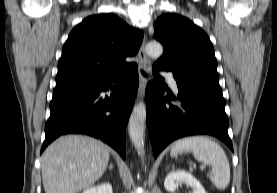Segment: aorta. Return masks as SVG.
<instances>
[{
    "label": "aorta",
    "instance_id": "obj_1",
    "mask_svg": "<svg viewBox=\"0 0 277 193\" xmlns=\"http://www.w3.org/2000/svg\"><path fill=\"white\" fill-rule=\"evenodd\" d=\"M146 53L152 57H159L163 47L158 42H150L145 47ZM146 105L144 102L137 104L129 119V135L132 143L140 155H143L145 137Z\"/></svg>",
    "mask_w": 277,
    "mask_h": 193
}]
</instances>
